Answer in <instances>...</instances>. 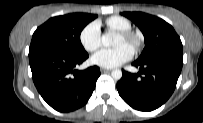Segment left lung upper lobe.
<instances>
[{
	"instance_id": "obj_1",
	"label": "left lung upper lobe",
	"mask_w": 203,
	"mask_h": 123,
	"mask_svg": "<svg viewBox=\"0 0 203 123\" xmlns=\"http://www.w3.org/2000/svg\"><path fill=\"white\" fill-rule=\"evenodd\" d=\"M122 15L132 20L145 37V48L138 61L169 53H183L180 37L163 19L142 12H123Z\"/></svg>"
}]
</instances>
